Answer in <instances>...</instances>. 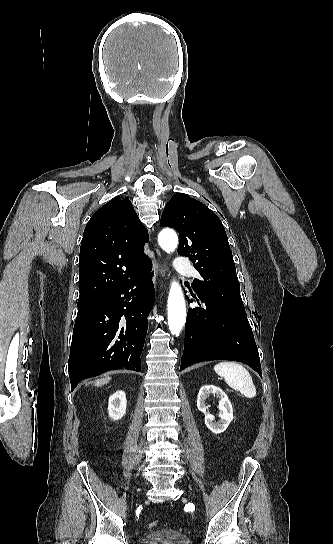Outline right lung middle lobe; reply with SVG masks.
Returning <instances> with one entry per match:
<instances>
[{"mask_svg":"<svg viewBox=\"0 0 333 544\" xmlns=\"http://www.w3.org/2000/svg\"><path fill=\"white\" fill-rule=\"evenodd\" d=\"M108 297L95 298L90 300L78 301V315L93 310L102 304Z\"/></svg>","mask_w":333,"mask_h":544,"instance_id":"obj_1","label":"right lung middle lobe"}]
</instances>
